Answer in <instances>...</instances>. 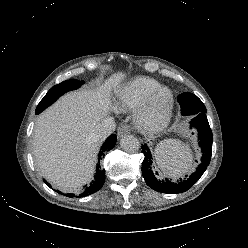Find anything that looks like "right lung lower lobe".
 <instances>
[{"label": "right lung lower lobe", "mask_w": 248, "mask_h": 248, "mask_svg": "<svg viewBox=\"0 0 248 248\" xmlns=\"http://www.w3.org/2000/svg\"><path fill=\"white\" fill-rule=\"evenodd\" d=\"M116 140H117L116 135H110L106 139L105 143L101 147V150L98 154V160L99 161L102 158V156L105 154V152L111 150L115 146ZM44 182L49 187H51L49 183H47L46 181H44ZM104 182H105V170H102L100 165H97V170H96V174L94 176V180L90 183V185H88V186L86 185L84 187L83 191L76 197H85V196H88V195L95 193L103 186ZM57 192L60 193L59 191H57ZM65 195L68 197H74V194H65Z\"/></svg>", "instance_id": "98d812e1"}]
</instances>
